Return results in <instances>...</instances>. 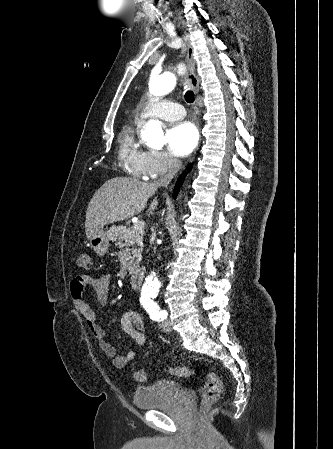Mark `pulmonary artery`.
I'll return each instance as SVG.
<instances>
[{
	"label": "pulmonary artery",
	"mask_w": 333,
	"mask_h": 449,
	"mask_svg": "<svg viewBox=\"0 0 333 449\" xmlns=\"http://www.w3.org/2000/svg\"><path fill=\"white\" fill-rule=\"evenodd\" d=\"M185 115L183 106L170 100H161L150 103L139 114V119L144 121L150 117L160 118L166 121H174Z\"/></svg>",
	"instance_id": "obj_1"
}]
</instances>
